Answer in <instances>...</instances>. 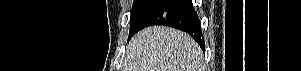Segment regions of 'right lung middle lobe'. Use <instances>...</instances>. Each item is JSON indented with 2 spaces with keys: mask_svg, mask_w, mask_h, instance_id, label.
<instances>
[{
  "mask_svg": "<svg viewBox=\"0 0 301 71\" xmlns=\"http://www.w3.org/2000/svg\"><path fill=\"white\" fill-rule=\"evenodd\" d=\"M159 0H134L130 17V32L129 36L134 33L146 13L158 2Z\"/></svg>",
  "mask_w": 301,
  "mask_h": 71,
  "instance_id": "right-lung-middle-lobe-1",
  "label": "right lung middle lobe"
}]
</instances>
